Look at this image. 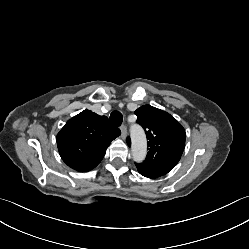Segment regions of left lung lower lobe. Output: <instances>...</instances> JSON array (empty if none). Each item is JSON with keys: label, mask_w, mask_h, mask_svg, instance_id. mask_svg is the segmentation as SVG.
I'll list each match as a JSON object with an SVG mask.
<instances>
[{"label": "left lung lower lobe", "mask_w": 249, "mask_h": 249, "mask_svg": "<svg viewBox=\"0 0 249 249\" xmlns=\"http://www.w3.org/2000/svg\"><path fill=\"white\" fill-rule=\"evenodd\" d=\"M139 173L142 174L141 172H139ZM142 175L145 176V177H148V178H153V177L147 176L145 174H142Z\"/></svg>", "instance_id": "obj_1"}]
</instances>
